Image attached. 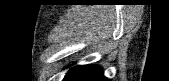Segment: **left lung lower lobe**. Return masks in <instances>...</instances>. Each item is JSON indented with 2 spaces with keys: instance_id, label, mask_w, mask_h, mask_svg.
Returning a JSON list of instances; mask_svg holds the SVG:
<instances>
[{
  "instance_id": "1",
  "label": "left lung lower lobe",
  "mask_w": 169,
  "mask_h": 81,
  "mask_svg": "<svg viewBox=\"0 0 169 81\" xmlns=\"http://www.w3.org/2000/svg\"><path fill=\"white\" fill-rule=\"evenodd\" d=\"M63 81H107V79L99 66L83 65L69 70Z\"/></svg>"
}]
</instances>
